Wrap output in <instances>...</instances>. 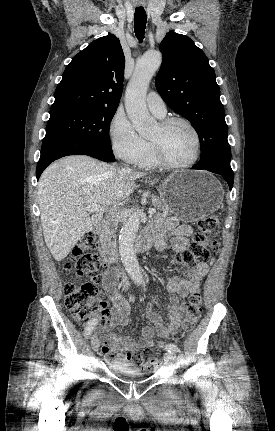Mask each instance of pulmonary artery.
Returning <instances> with one entry per match:
<instances>
[{
  "instance_id": "e3ab8cb5",
  "label": "pulmonary artery",
  "mask_w": 275,
  "mask_h": 431,
  "mask_svg": "<svg viewBox=\"0 0 275 431\" xmlns=\"http://www.w3.org/2000/svg\"><path fill=\"white\" fill-rule=\"evenodd\" d=\"M146 103L149 110L156 116L164 117L166 115L167 109L165 102L157 92L151 91L147 95Z\"/></svg>"
}]
</instances>
